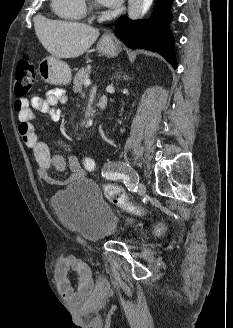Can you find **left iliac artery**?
Segmentation results:
<instances>
[{"mask_svg":"<svg viewBox=\"0 0 233 328\" xmlns=\"http://www.w3.org/2000/svg\"><path fill=\"white\" fill-rule=\"evenodd\" d=\"M104 177L110 180L119 179L123 181V183L128 187V189H134V185L129 181V177L125 175L124 173H118V172H106L104 174Z\"/></svg>","mask_w":233,"mask_h":328,"instance_id":"obj_1","label":"left iliac artery"}]
</instances>
